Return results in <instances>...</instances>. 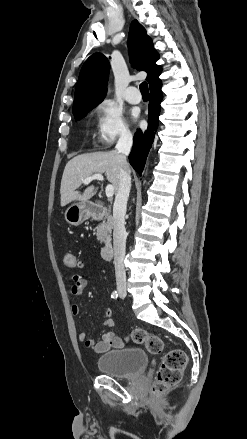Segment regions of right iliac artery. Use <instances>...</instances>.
Segmentation results:
<instances>
[{"label": "right iliac artery", "mask_w": 247, "mask_h": 439, "mask_svg": "<svg viewBox=\"0 0 247 439\" xmlns=\"http://www.w3.org/2000/svg\"><path fill=\"white\" fill-rule=\"evenodd\" d=\"M111 298L117 299L118 298V292L117 291H113L112 294H111Z\"/></svg>", "instance_id": "1"}]
</instances>
